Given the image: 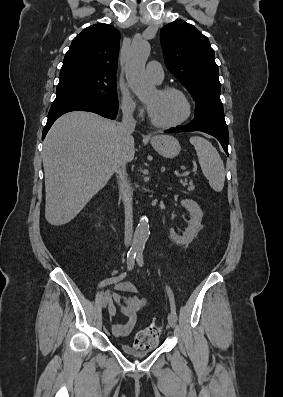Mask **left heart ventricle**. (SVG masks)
<instances>
[{
  "label": "left heart ventricle",
  "instance_id": "b2bd125f",
  "mask_svg": "<svg viewBox=\"0 0 283 397\" xmlns=\"http://www.w3.org/2000/svg\"><path fill=\"white\" fill-rule=\"evenodd\" d=\"M152 117L163 123L173 122L184 116L186 104L177 93L162 94L158 90L146 100Z\"/></svg>",
  "mask_w": 283,
  "mask_h": 397
}]
</instances>
